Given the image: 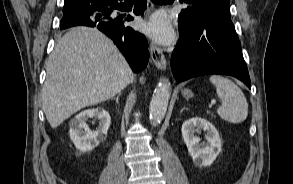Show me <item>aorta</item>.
Returning <instances> with one entry per match:
<instances>
[{
    "instance_id": "1",
    "label": "aorta",
    "mask_w": 293,
    "mask_h": 184,
    "mask_svg": "<svg viewBox=\"0 0 293 184\" xmlns=\"http://www.w3.org/2000/svg\"><path fill=\"white\" fill-rule=\"evenodd\" d=\"M169 98L170 82L167 79H162L154 91L149 107V116L153 126L160 124L163 120L167 111Z\"/></svg>"
}]
</instances>
